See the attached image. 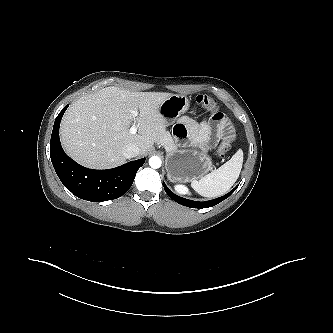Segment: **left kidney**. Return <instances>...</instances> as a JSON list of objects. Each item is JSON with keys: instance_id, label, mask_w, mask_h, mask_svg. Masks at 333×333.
Instances as JSON below:
<instances>
[{"instance_id": "1", "label": "left kidney", "mask_w": 333, "mask_h": 333, "mask_svg": "<svg viewBox=\"0 0 333 333\" xmlns=\"http://www.w3.org/2000/svg\"><path fill=\"white\" fill-rule=\"evenodd\" d=\"M175 190L180 194H188V189L184 185H175Z\"/></svg>"}]
</instances>
